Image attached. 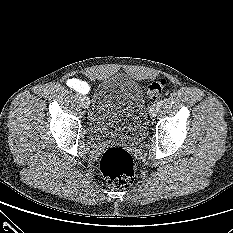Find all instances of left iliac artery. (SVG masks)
Instances as JSON below:
<instances>
[{
    "label": "left iliac artery",
    "instance_id": "1",
    "mask_svg": "<svg viewBox=\"0 0 233 233\" xmlns=\"http://www.w3.org/2000/svg\"><path fill=\"white\" fill-rule=\"evenodd\" d=\"M157 104H158L159 106H162V105L164 104V100H163V99H160V100L157 102Z\"/></svg>",
    "mask_w": 233,
    "mask_h": 233
}]
</instances>
